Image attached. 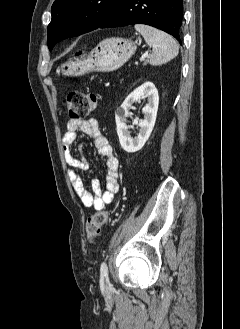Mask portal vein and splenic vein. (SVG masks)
<instances>
[{"label":"portal vein and splenic vein","instance_id":"18ae733b","mask_svg":"<svg viewBox=\"0 0 240 329\" xmlns=\"http://www.w3.org/2000/svg\"><path fill=\"white\" fill-rule=\"evenodd\" d=\"M147 57H149V54L148 53H145L144 55L141 56V58L139 60L140 61H144Z\"/></svg>","mask_w":240,"mask_h":329}]
</instances>
